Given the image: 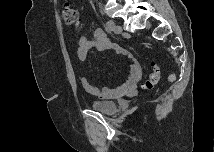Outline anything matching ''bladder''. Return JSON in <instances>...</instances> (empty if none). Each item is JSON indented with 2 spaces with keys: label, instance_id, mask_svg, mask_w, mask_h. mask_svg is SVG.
Segmentation results:
<instances>
[{
  "label": "bladder",
  "instance_id": "obj_1",
  "mask_svg": "<svg viewBox=\"0 0 215 152\" xmlns=\"http://www.w3.org/2000/svg\"><path fill=\"white\" fill-rule=\"evenodd\" d=\"M90 107L93 110L108 116L116 114L118 110V105L115 102L109 101H92L90 102Z\"/></svg>",
  "mask_w": 215,
  "mask_h": 152
}]
</instances>
